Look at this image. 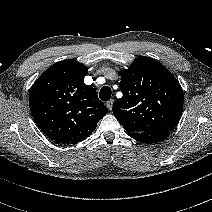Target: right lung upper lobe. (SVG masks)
<instances>
[{"instance_id": "1", "label": "right lung upper lobe", "mask_w": 212, "mask_h": 212, "mask_svg": "<svg viewBox=\"0 0 212 212\" xmlns=\"http://www.w3.org/2000/svg\"><path fill=\"white\" fill-rule=\"evenodd\" d=\"M85 65L69 59L55 63L33 84L32 116L40 130L60 144H76L95 130L108 109L84 83Z\"/></svg>"}]
</instances>
